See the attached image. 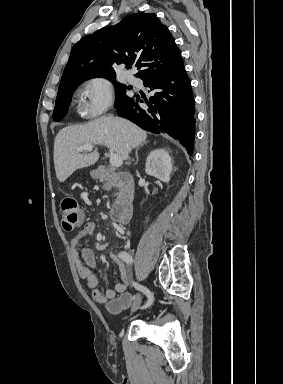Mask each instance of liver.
Segmentation results:
<instances>
[{"instance_id": "6515ba94", "label": "liver", "mask_w": 283, "mask_h": 384, "mask_svg": "<svg viewBox=\"0 0 283 384\" xmlns=\"http://www.w3.org/2000/svg\"><path fill=\"white\" fill-rule=\"evenodd\" d=\"M147 132L123 118H97L85 126H67L58 132L54 142V166L56 178L65 182L75 170L95 164L98 152L80 154L77 148L83 144H101L128 160V148H137L146 142Z\"/></svg>"}]
</instances>
